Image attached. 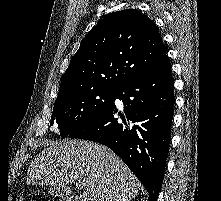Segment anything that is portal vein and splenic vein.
Returning <instances> with one entry per match:
<instances>
[{
    "label": "portal vein and splenic vein",
    "instance_id": "obj_1",
    "mask_svg": "<svg viewBox=\"0 0 221 201\" xmlns=\"http://www.w3.org/2000/svg\"><path fill=\"white\" fill-rule=\"evenodd\" d=\"M79 186H82L81 182H78Z\"/></svg>",
    "mask_w": 221,
    "mask_h": 201
}]
</instances>
